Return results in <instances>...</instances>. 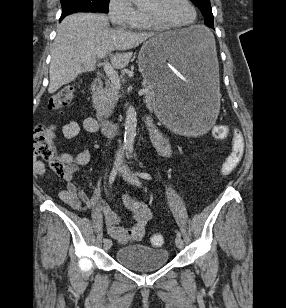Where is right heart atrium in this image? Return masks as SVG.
I'll return each mask as SVG.
<instances>
[{
    "label": "right heart atrium",
    "mask_w": 286,
    "mask_h": 308,
    "mask_svg": "<svg viewBox=\"0 0 286 308\" xmlns=\"http://www.w3.org/2000/svg\"><path fill=\"white\" fill-rule=\"evenodd\" d=\"M108 15L112 25L121 29H134L143 15L137 11L129 0H109Z\"/></svg>",
    "instance_id": "right-heart-atrium-1"
}]
</instances>
